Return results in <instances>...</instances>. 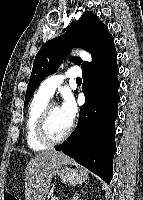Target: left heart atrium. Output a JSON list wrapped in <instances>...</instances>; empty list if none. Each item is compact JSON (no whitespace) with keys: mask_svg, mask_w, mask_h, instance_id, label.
<instances>
[{"mask_svg":"<svg viewBox=\"0 0 143 200\" xmlns=\"http://www.w3.org/2000/svg\"><path fill=\"white\" fill-rule=\"evenodd\" d=\"M59 109H60L62 115L64 116V118L71 125L76 116V105L70 94H68V93L64 94L63 101H62Z\"/></svg>","mask_w":143,"mask_h":200,"instance_id":"left-heart-atrium-1","label":"left heart atrium"}]
</instances>
